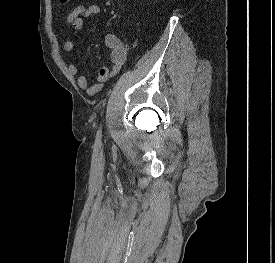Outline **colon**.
Instances as JSON below:
<instances>
[{"label":"colon","instance_id":"5ec220e1","mask_svg":"<svg viewBox=\"0 0 275 263\" xmlns=\"http://www.w3.org/2000/svg\"><path fill=\"white\" fill-rule=\"evenodd\" d=\"M69 0H58L59 3H67Z\"/></svg>","mask_w":275,"mask_h":263}]
</instances>
